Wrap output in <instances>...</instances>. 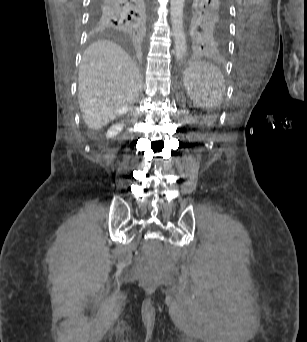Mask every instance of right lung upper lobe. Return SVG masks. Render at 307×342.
I'll list each match as a JSON object with an SVG mask.
<instances>
[{
	"instance_id": "1",
	"label": "right lung upper lobe",
	"mask_w": 307,
	"mask_h": 342,
	"mask_svg": "<svg viewBox=\"0 0 307 342\" xmlns=\"http://www.w3.org/2000/svg\"><path fill=\"white\" fill-rule=\"evenodd\" d=\"M93 32L99 36L140 42L148 28L146 0H93Z\"/></svg>"
}]
</instances>
